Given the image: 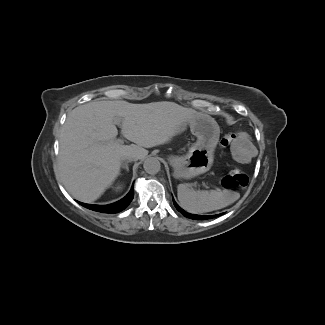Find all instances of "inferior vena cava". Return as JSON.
<instances>
[{
  "label": "inferior vena cava",
  "mask_w": 325,
  "mask_h": 325,
  "mask_svg": "<svg viewBox=\"0 0 325 325\" xmlns=\"http://www.w3.org/2000/svg\"><path fill=\"white\" fill-rule=\"evenodd\" d=\"M139 154L135 150H127L121 157V160L126 163L134 162L139 159Z\"/></svg>",
  "instance_id": "inferior-vena-cava-1"
}]
</instances>
